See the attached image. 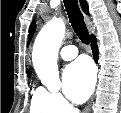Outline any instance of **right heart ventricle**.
Instances as JSON below:
<instances>
[{"label":"right heart ventricle","mask_w":121,"mask_h":113,"mask_svg":"<svg viewBox=\"0 0 121 113\" xmlns=\"http://www.w3.org/2000/svg\"><path fill=\"white\" fill-rule=\"evenodd\" d=\"M29 113H53L52 104L42 88L36 89L29 101Z\"/></svg>","instance_id":"obj_1"}]
</instances>
